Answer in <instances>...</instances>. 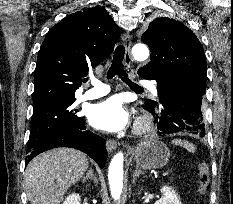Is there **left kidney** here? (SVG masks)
Returning a JSON list of instances; mask_svg holds the SVG:
<instances>
[{
  "mask_svg": "<svg viewBox=\"0 0 233 204\" xmlns=\"http://www.w3.org/2000/svg\"><path fill=\"white\" fill-rule=\"evenodd\" d=\"M160 191L162 193V197L157 200L155 204H182L178 194L173 188L164 186Z\"/></svg>",
  "mask_w": 233,
  "mask_h": 204,
  "instance_id": "5707ae66",
  "label": "left kidney"
}]
</instances>
